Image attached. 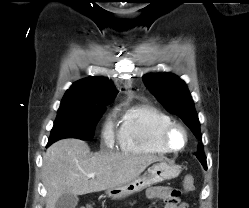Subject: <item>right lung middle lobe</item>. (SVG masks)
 Here are the masks:
<instances>
[{
  "mask_svg": "<svg viewBox=\"0 0 249 208\" xmlns=\"http://www.w3.org/2000/svg\"><path fill=\"white\" fill-rule=\"evenodd\" d=\"M105 107L60 106L47 146L63 138L92 140Z\"/></svg>",
  "mask_w": 249,
  "mask_h": 208,
  "instance_id": "1",
  "label": "right lung middle lobe"
}]
</instances>
